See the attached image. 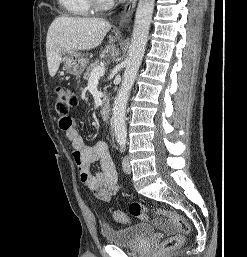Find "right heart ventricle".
I'll return each instance as SVG.
<instances>
[{"label": "right heart ventricle", "mask_w": 247, "mask_h": 257, "mask_svg": "<svg viewBox=\"0 0 247 257\" xmlns=\"http://www.w3.org/2000/svg\"><path fill=\"white\" fill-rule=\"evenodd\" d=\"M60 7L71 16H86L93 10L90 0H58Z\"/></svg>", "instance_id": "obj_1"}]
</instances>
